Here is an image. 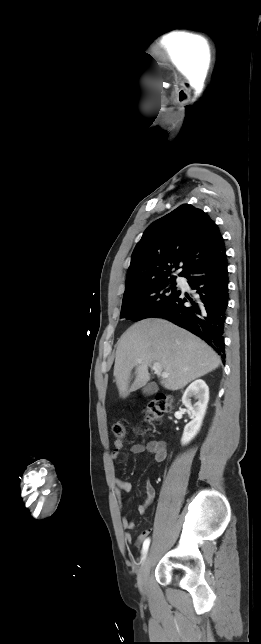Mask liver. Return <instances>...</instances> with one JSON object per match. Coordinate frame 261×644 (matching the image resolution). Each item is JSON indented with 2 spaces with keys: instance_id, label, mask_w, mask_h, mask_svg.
I'll return each instance as SVG.
<instances>
[{
  "instance_id": "obj_1",
  "label": "liver",
  "mask_w": 261,
  "mask_h": 644,
  "mask_svg": "<svg viewBox=\"0 0 261 644\" xmlns=\"http://www.w3.org/2000/svg\"><path fill=\"white\" fill-rule=\"evenodd\" d=\"M154 362L169 374L162 378L161 385L175 391L218 368L221 360L210 346L187 330L163 319L141 320L128 328L117 343L114 377L122 398L147 384L148 367ZM134 367L136 378L129 388Z\"/></svg>"
}]
</instances>
